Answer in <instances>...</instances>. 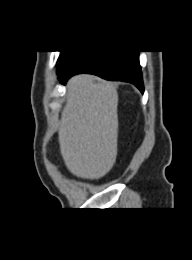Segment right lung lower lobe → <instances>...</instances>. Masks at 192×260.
I'll list each match as a JSON object with an SVG mask.
<instances>
[{"label": "right lung lower lobe", "instance_id": "right-lung-lower-lobe-1", "mask_svg": "<svg viewBox=\"0 0 192 260\" xmlns=\"http://www.w3.org/2000/svg\"><path fill=\"white\" fill-rule=\"evenodd\" d=\"M78 73H91L107 80L130 82L144 91L138 51L82 52L58 75L60 82Z\"/></svg>", "mask_w": 192, "mask_h": 260}]
</instances>
